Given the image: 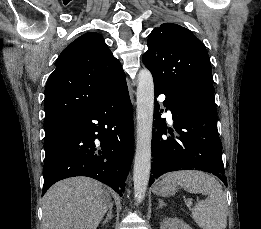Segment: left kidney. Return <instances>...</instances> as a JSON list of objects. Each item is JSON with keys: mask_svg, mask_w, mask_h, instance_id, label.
Instances as JSON below:
<instances>
[{"mask_svg": "<svg viewBox=\"0 0 261 229\" xmlns=\"http://www.w3.org/2000/svg\"><path fill=\"white\" fill-rule=\"evenodd\" d=\"M160 229H191V227L180 219H163L160 223Z\"/></svg>", "mask_w": 261, "mask_h": 229, "instance_id": "left-kidney-1", "label": "left kidney"}]
</instances>
